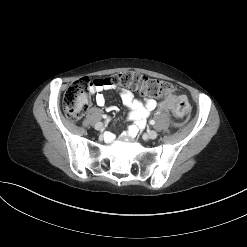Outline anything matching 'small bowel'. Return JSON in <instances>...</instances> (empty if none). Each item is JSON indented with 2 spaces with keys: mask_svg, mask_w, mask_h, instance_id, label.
Segmentation results:
<instances>
[{
  "mask_svg": "<svg viewBox=\"0 0 247 247\" xmlns=\"http://www.w3.org/2000/svg\"><path fill=\"white\" fill-rule=\"evenodd\" d=\"M109 89H115L120 92L122 102L129 110L128 116L134 121V124L127 129L126 134L127 136H135L139 129L145 127L147 118L158 105L157 101L151 97H146L144 100L135 99L133 92L127 88H120L107 83L93 85L91 92L95 94L96 104L100 107H105L109 111L115 109L113 106L106 105L103 91Z\"/></svg>",
  "mask_w": 247,
  "mask_h": 247,
  "instance_id": "c3829d8e",
  "label": "small bowel"
}]
</instances>
